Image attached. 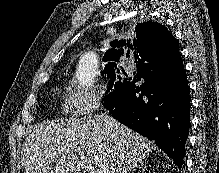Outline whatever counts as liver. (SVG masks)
Listing matches in <instances>:
<instances>
[{"label": "liver", "instance_id": "1", "mask_svg": "<svg viewBox=\"0 0 219 173\" xmlns=\"http://www.w3.org/2000/svg\"><path fill=\"white\" fill-rule=\"evenodd\" d=\"M153 148L147 138L101 113L32 127L21 164L24 173H128Z\"/></svg>", "mask_w": 219, "mask_h": 173}]
</instances>
